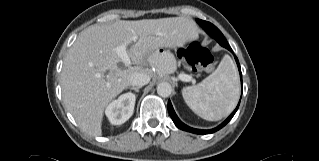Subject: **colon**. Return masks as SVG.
<instances>
[{
  "label": "colon",
  "mask_w": 319,
  "mask_h": 161,
  "mask_svg": "<svg viewBox=\"0 0 319 161\" xmlns=\"http://www.w3.org/2000/svg\"><path fill=\"white\" fill-rule=\"evenodd\" d=\"M178 56L184 67L190 72L209 69L214 62L213 55L197 41L179 48Z\"/></svg>",
  "instance_id": "1"
}]
</instances>
